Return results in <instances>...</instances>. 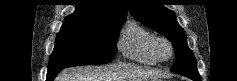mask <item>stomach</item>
Masks as SVG:
<instances>
[{
  "label": "stomach",
  "mask_w": 237,
  "mask_h": 81,
  "mask_svg": "<svg viewBox=\"0 0 237 81\" xmlns=\"http://www.w3.org/2000/svg\"><path fill=\"white\" fill-rule=\"evenodd\" d=\"M155 81H161V79L155 80Z\"/></svg>",
  "instance_id": "0dacf381"
}]
</instances>
